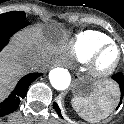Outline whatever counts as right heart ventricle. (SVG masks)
Here are the masks:
<instances>
[{
    "label": "right heart ventricle",
    "instance_id": "1",
    "mask_svg": "<svg viewBox=\"0 0 124 124\" xmlns=\"http://www.w3.org/2000/svg\"><path fill=\"white\" fill-rule=\"evenodd\" d=\"M111 41L112 39L103 32L85 30L67 40V50L76 61L86 63L99 46Z\"/></svg>",
    "mask_w": 124,
    "mask_h": 124
}]
</instances>
